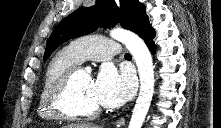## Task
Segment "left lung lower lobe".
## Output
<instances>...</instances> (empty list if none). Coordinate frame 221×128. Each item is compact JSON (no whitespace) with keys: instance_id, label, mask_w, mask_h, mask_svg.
<instances>
[{"instance_id":"left-lung-lower-lobe-1","label":"left lung lower lobe","mask_w":221,"mask_h":128,"mask_svg":"<svg viewBox=\"0 0 221 128\" xmlns=\"http://www.w3.org/2000/svg\"><path fill=\"white\" fill-rule=\"evenodd\" d=\"M154 37H155V32H154L153 29H151V30L147 33V35L142 38V39H144V41L146 42L148 48H149L152 52L156 49V47L154 46V41H153ZM153 53H154V52H153Z\"/></svg>"}]
</instances>
